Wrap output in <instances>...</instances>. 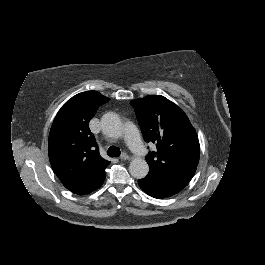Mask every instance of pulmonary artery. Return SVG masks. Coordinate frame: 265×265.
<instances>
[{
    "mask_svg": "<svg viewBox=\"0 0 265 265\" xmlns=\"http://www.w3.org/2000/svg\"><path fill=\"white\" fill-rule=\"evenodd\" d=\"M125 133L129 136L127 138V143L129 147L135 152L140 153L144 149V143L142 140L136 135L138 133V128L134 124H129L125 128ZM121 135H113L112 138L114 140H119Z\"/></svg>",
    "mask_w": 265,
    "mask_h": 265,
    "instance_id": "pulmonary-artery-1",
    "label": "pulmonary artery"
}]
</instances>
